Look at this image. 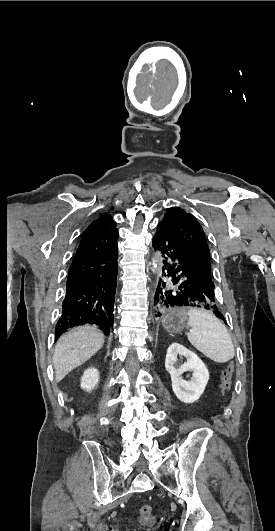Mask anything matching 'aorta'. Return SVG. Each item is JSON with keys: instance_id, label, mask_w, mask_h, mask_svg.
Here are the masks:
<instances>
[{"instance_id": "1", "label": "aorta", "mask_w": 275, "mask_h": 531, "mask_svg": "<svg viewBox=\"0 0 275 531\" xmlns=\"http://www.w3.org/2000/svg\"><path fill=\"white\" fill-rule=\"evenodd\" d=\"M158 265H157V261L156 259H154L153 261V269H157Z\"/></svg>"}]
</instances>
